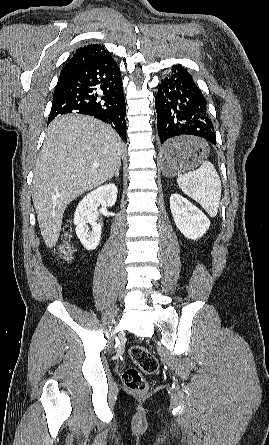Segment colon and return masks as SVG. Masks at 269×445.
Returning a JSON list of instances; mask_svg holds the SVG:
<instances>
[{"label": "colon", "instance_id": "colon-1", "mask_svg": "<svg viewBox=\"0 0 269 445\" xmlns=\"http://www.w3.org/2000/svg\"><path fill=\"white\" fill-rule=\"evenodd\" d=\"M69 232L70 227L66 226L63 243L59 247V253L63 258H69L72 254L71 246L68 243ZM129 355L137 368L131 367L123 372V383L128 389L143 394L148 389V383L144 374H156L159 369L158 360L146 347L141 345L132 346L129 350Z\"/></svg>", "mask_w": 269, "mask_h": 445}]
</instances>
